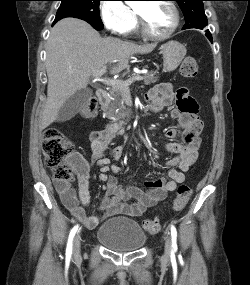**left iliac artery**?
<instances>
[{"mask_svg": "<svg viewBox=\"0 0 250 285\" xmlns=\"http://www.w3.org/2000/svg\"><path fill=\"white\" fill-rule=\"evenodd\" d=\"M171 237H172V248L174 250L177 249V243H176V240H177V231H176V228L171 225Z\"/></svg>", "mask_w": 250, "mask_h": 285, "instance_id": "left-iliac-artery-1", "label": "left iliac artery"}]
</instances>
